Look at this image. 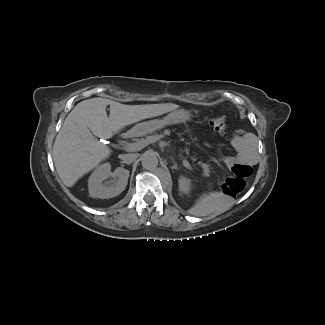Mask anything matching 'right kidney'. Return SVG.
<instances>
[{"mask_svg":"<svg viewBox=\"0 0 325 325\" xmlns=\"http://www.w3.org/2000/svg\"><path fill=\"white\" fill-rule=\"evenodd\" d=\"M109 177L112 180L106 181ZM129 171L118 167L111 173V165L104 163L98 166L88 180L89 194L93 198L109 199L118 196L127 186Z\"/></svg>","mask_w":325,"mask_h":325,"instance_id":"right-kidney-1","label":"right kidney"}]
</instances>
